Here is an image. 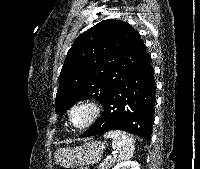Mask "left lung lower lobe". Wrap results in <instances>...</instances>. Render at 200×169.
I'll use <instances>...</instances> for the list:
<instances>
[{
	"instance_id": "left-lung-lower-lobe-1",
	"label": "left lung lower lobe",
	"mask_w": 200,
	"mask_h": 169,
	"mask_svg": "<svg viewBox=\"0 0 200 169\" xmlns=\"http://www.w3.org/2000/svg\"><path fill=\"white\" fill-rule=\"evenodd\" d=\"M148 53L103 100L102 116L80 138L122 130L151 139L155 106L154 70Z\"/></svg>"
}]
</instances>
